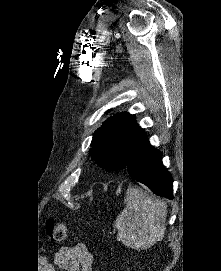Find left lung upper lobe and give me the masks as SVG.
Here are the masks:
<instances>
[{
  "label": "left lung upper lobe",
  "instance_id": "obj_1",
  "mask_svg": "<svg viewBox=\"0 0 221 271\" xmlns=\"http://www.w3.org/2000/svg\"><path fill=\"white\" fill-rule=\"evenodd\" d=\"M146 139L147 135L133 115L127 112L114 114L93 134L89 154L107 171L124 169Z\"/></svg>",
  "mask_w": 221,
  "mask_h": 271
}]
</instances>
